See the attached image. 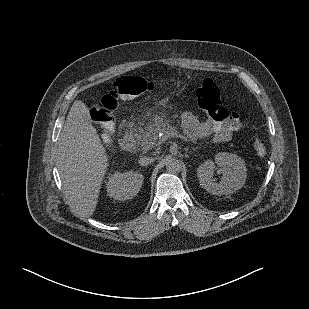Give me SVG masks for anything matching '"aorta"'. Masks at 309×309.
<instances>
[{"label": "aorta", "mask_w": 309, "mask_h": 309, "mask_svg": "<svg viewBox=\"0 0 309 309\" xmlns=\"http://www.w3.org/2000/svg\"><path fill=\"white\" fill-rule=\"evenodd\" d=\"M165 167L169 173H179L182 170L183 163L174 157H168L165 160Z\"/></svg>", "instance_id": "aorta-1"}]
</instances>
